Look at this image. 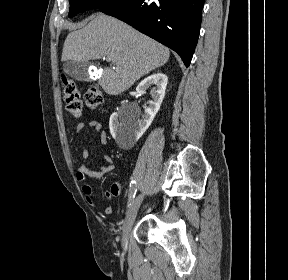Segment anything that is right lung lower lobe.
<instances>
[{
  "label": "right lung lower lobe",
  "mask_w": 288,
  "mask_h": 280,
  "mask_svg": "<svg viewBox=\"0 0 288 280\" xmlns=\"http://www.w3.org/2000/svg\"><path fill=\"white\" fill-rule=\"evenodd\" d=\"M204 0H121L100 11L171 48L190 65Z\"/></svg>",
  "instance_id": "right-lung-lower-lobe-1"
}]
</instances>
